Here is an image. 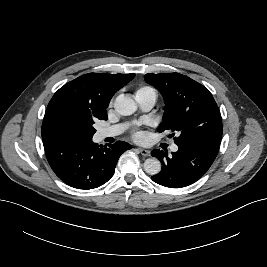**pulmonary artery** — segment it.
<instances>
[{
    "label": "pulmonary artery",
    "instance_id": "pulmonary-artery-1",
    "mask_svg": "<svg viewBox=\"0 0 267 267\" xmlns=\"http://www.w3.org/2000/svg\"><path fill=\"white\" fill-rule=\"evenodd\" d=\"M136 100L143 110L148 111L152 109L153 106L155 105L156 94L150 93V94H145V95H139V96H136ZM123 128H124L123 125H117V126H113L109 128L100 129L98 131V136L101 139H104L106 137L116 136L119 133H121ZM171 150L173 152H176L178 150V146L175 144L172 145Z\"/></svg>",
    "mask_w": 267,
    "mask_h": 267
}]
</instances>
